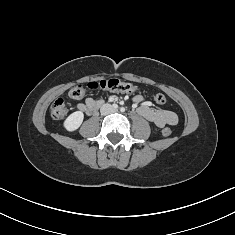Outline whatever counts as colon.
Returning <instances> with one entry per match:
<instances>
[{
    "instance_id": "colon-1",
    "label": "colon",
    "mask_w": 235,
    "mask_h": 235,
    "mask_svg": "<svg viewBox=\"0 0 235 235\" xmlns=\"http://www.w3.org/2000/svg\"><path fill=\"white\" fill-rule=\"evenodd\" d=\"M87 90L96 91V90H103V91H113V92H120V93H133L137 90V86L130 82H124L117 78H109V79H102L91 81L87 84H78L73 87L70 92L69 96L73 99H81L84 97ZM154 101L157 104H165L166 97L163 94H156L154 96ZM68 113V106L63 99H57L51 106V115L54 119L60 120L63 119ZM172 133V130L168 127L162 130V135L164 137H169Z\"/></svg>"
}]
</instances>
